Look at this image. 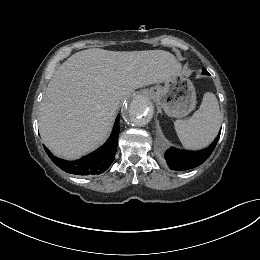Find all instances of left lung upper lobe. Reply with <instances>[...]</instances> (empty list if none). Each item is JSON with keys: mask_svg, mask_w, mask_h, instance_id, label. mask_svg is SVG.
Segmentation results:
<instances>
[{"mask_svg": "<svg viewBox=\"0 0 260 260\" xmlns=\"http://www.w3.org/2000/svg\"><path fill=\"white\" fill-rule=\"evenodd\" d=\"M203 74L208 75L209 73L204 69V70H203Z\"/></svg>", "mask_w": 260, "mask_h": 260, "instance_id": "left-lung-upper-lobe-1", "label": "left lung upper lobe"}]
</instances>
